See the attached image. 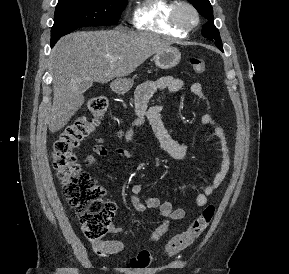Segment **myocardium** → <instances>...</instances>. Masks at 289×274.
Returning a JSON list of instances; mask_svg holds the SVG:
<instances>
[{"mask_svg":"<svg viewBox=\"0 0 289 274\" xmlns=\"http://www.w3.org/2000/svg\"><path fill=\"white\" fill-rule=\"evenodd\" d=\"M184 10H188L192 14L193 20L191 22H187L184 20L182 16V12ZM170 19L172 24L178 29L184 32H190L199 25L200 14L197 8L190 2L178 1L172 8Z\"/></svg>","mask_w":289,"mask_h":274,"instance_id":"1","label":"myocardium"}]
</instances>
